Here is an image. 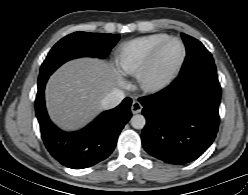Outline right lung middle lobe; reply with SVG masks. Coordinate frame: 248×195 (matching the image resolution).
Here are the masks:
<instances>
[{
  "label": "right lung middle lobe",
  "instance_id": "1",
  "mask_svg": "<svg viewBox=\"0 0 248 195\" xmlns=\"http://www.w3.org/2000/svg\"><path fill=\"white\" fill-rule=\"evenodd\" d=\"M120 35L75 32L58 41L43 62L39 80L50 76L60 65L68 60L83 57H106L119 40Z\"/></svg>",
  "mask_w": 248,
  "mask_h": 195
}]
</instances>
